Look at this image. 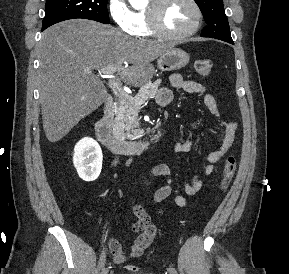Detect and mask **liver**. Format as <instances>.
Wrapping results in <instances>:
<instances>
[{"mask_svg": "<svg viewBox=\"0 0 289 274\" xmlns=\"http://www.w3.org/2000/svg\"><path fill=\"white\" fill-rule=\"evenodd\" d=\"M171 49V45L135 39L85 19L47 28L38 45L40 104L47 139L52 143L61 140L102 105L107 91L94 70L116 66L125 84L142 86L153 77L151 62Z\"/></svg>", "mask_w": 289, "mask_h": 274, "instance_id": "1", "label": "liver"}]
</instances>
